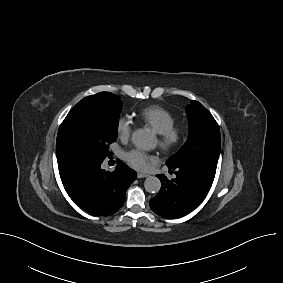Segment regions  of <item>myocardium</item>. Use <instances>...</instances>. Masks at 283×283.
Returning <instances> with one entry per match:
<instances>
[{
  "instance_id": "myocardium-1",
  "label": "myocardium",
  "mask_w": 283,
  "mask_h": 283,
  "mask_svg": "<svg viewBox=\"0 0 283 283\" xmlns=\"http://www.w3.org/2000/svg\"><path fill=\"white\" fill-rule=\"evenodd\" d=\"M157 135L159 146L164 150H172L181 143L184 130L182 126L173 123L164 130L158 132Z\"/></svg>"
}]
</instances>
